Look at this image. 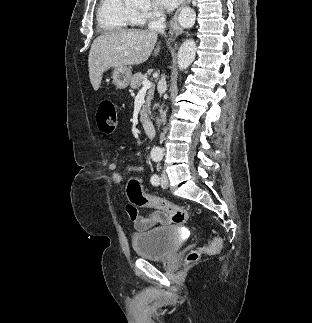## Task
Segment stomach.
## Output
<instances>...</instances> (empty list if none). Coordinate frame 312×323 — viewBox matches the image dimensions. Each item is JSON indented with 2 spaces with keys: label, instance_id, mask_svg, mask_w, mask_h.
I'll use <instances>...</instances> for the list:
<instances>
[{
  "label": "stomach",
  "instance_id": "0dacf381",
  "mask_svg": "<svg viewBox=\"0 0 312 323\" xmlns=\"http://www.w3.org/2000/svg\"><path fill=\"white\" fill-rule=\"evenodd\" d=\"M132 78V72L126 66H119V68H114L112 74L113 84L117 86V88H127L130 84V80Z\"/></svg>",
  "mask_w": 312,
  "mask_h": 323
}]
</instances>
